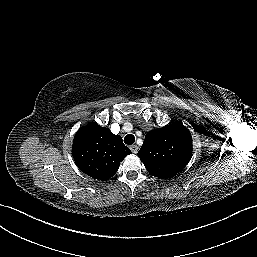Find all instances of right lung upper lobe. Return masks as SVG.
<instances>
[{"label": "right lung upper lobe", "instance_id": "cb5924a9", "mask_svg": "<svg viewBox=\"0 0 257 257\" xmlns=\"http://www.w3.org/2000/svg\"><path fill=\"white\" fill-rule=\"evenodd\" d=\"M76 165L94 179L107 180L117 172L130 149L108 128L90 123L78 130L72 147Z\"/></svg>", "mask_w": 257, "mask_h": 257}]
</instances>
